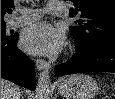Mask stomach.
Here are the masks:
<instances>
[{
	"label": "stomach",
	"instance_id": "1",
	"mask_svg": "<svg viewBox=\"0 0 115 99\" xmlns=\"http://www.w3.org/2000/svg\"><path fill=\"white\" fill-rule=\"evenodd\" d=\"M66 99H93L98 91L96 81L85 74L72 75L59 86Z\"/></svg>",
	"mask_w": 115,
	"mask_h": 99
}]
</instances>
